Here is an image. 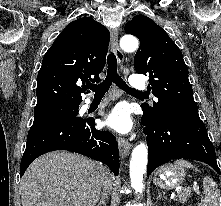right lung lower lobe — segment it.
Listing matches in <instances>:
<instances>
[{
    "mask_svg": "<svg viewBox=\"0 0 221 206\" xmlns=\"http://www.w3.org/2000/svg\"><path fill=\"white\" fill-rule=\"evenodd\" d=\"M67 150L105 163L118 175V144L107 131L95 129L93 118L62 117L33 123L27 136V145L20 164V177L40 155Z\"/></svg>",
    "mask_w": 221,
    "mask_h": 206,
    "instance_id": "right-lung-lower-lobe-1",
    "label": "right lung lower lobe"
}]
</instances>
